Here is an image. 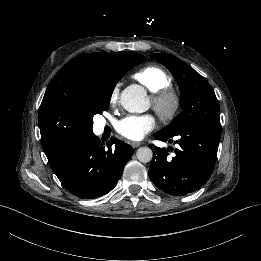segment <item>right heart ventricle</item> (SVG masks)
Returning <instances> with one entry per match:
<instances>
[{
    "label": "right heart ventricle",
    "instance_id": "right-heart-ventricle-1",
    "mask_svg": "<svg viewBox=\"0 0 261 261\" xmlns=\"http://www.w3.org/2000/svg\"><path fill=\"white\" fill-rule=\"evenodd\" d=\"M136 78L153 94L167 87L171 82L166 71L157 65L145 66L136 74Z\"/></svg>",
    "mask_w": 261,
    "mask_h": 261
}]
</instances>
